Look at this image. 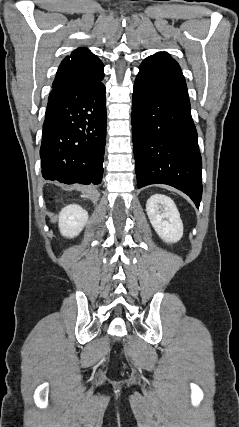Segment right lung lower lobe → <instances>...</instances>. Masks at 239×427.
Returning <instances> with one entry per match:
<instances>
[{"label": "right lung lower lobe", "instance_id": "right-lung-lower-lobe-1", "mask_svg": "<svg viewBox=\"0 0 239 427\" xmlns=\"http://www.w3.org/2000/svg\"><path fill=\"white\" fill-rule=\"evenodd\" d=\"M103 71L53 86L40 149L42 175L61 183L99 184L106 142Z\"/></svg>", "mask_w": 239, "mask_h": 427}]
</instances>
